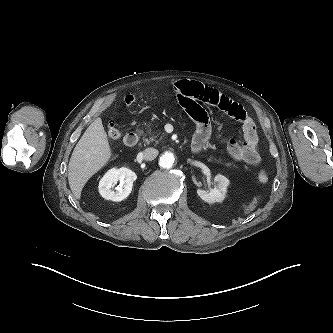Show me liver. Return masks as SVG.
I'll use <instances>...</instances> for the list:
<instances>
[{"label":"liver","instance_id":"6515ba94","mask_svg":"<svg viewBox=\"0 0 333 333\" xmlns=\"http://www.w3.org/2000/svg\"><path fill=\"white\" fill-rule=\"evenodd\" d=\"M112 152L101 118H96L76 144L68 165V181L80 199L86 182L111 158Z\"/></svg>","mask_w":333,"mask_h":333}]
</instances>
